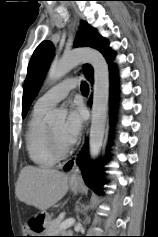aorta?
<instances>
[{
	"mask_svg": "<svg viewBox=\"0 0 158 237\" xmlns=\"http://www.w3.org/2000/svg\"><path fill=\"white\" fill-rule=\"evenodd\" d=\"M82 62H87L94 69V87L92 104V121L89 136V154L95 160L102 147L107 120L109 97V70L101 53L94 49H79L65 54L61 59L53 60L48 77L57 80ZM66 113L55 109L50 116V123H63Z\"/></svg>",
	"mask_w": 158,
	"mask_h": 237,
	"instance_id": "1",
	"label": "aorta"
}]
</instances>
